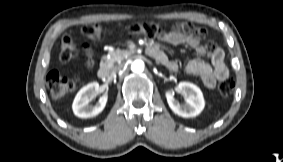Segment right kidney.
<instances>
[{
  "label": "right kidney",
  "mask_w": 283,
  "mask_h": 162,
  "mask_svg": "<svg viewBox=\"0 0 283 162\" xmlns=\"http://www.w3.org/2000/svg\"><path fill=\"white\" fill-rule=\"evenodd\" d=\"M99 91L98 82H92L84 86L76 95L72 109L74 114L80 118H90L101 113L107 103V95L100 97L96 105H90V98Z\"/></svg>",
  "instance_id": "right-kidney-1"
}]
</instances>
